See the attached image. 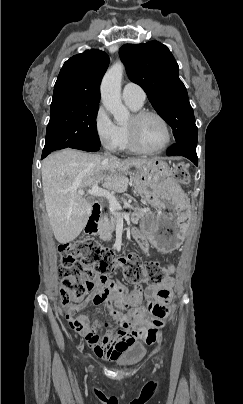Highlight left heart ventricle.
Listing matches in <instances>:
<instances>
[{
	"mask_svg": "<svg viewBox=\"0 0 243 404\" xmlns=\"http://www.w3.org/2000/svg\"><path fill=\"white\" fill-rule=\"evenodd\" d=\"M127 124L133 125L138 139L148 148H159L167 141V129L155 115H148L135 123L131 117Z\"/></svg>",
	"mask_w": 243,
	"mask_h": 404,
	"instance_id": "b2bd125f",
	"label": "left heart ventricle"
}]
</instances>
